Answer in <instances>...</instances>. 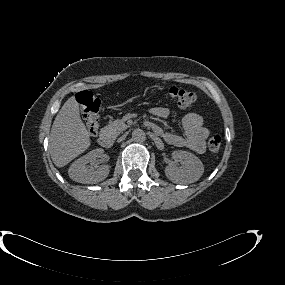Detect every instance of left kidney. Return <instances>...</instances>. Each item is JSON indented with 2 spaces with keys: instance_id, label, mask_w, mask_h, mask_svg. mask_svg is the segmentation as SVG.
<instances>
[{
  "instance_id": "obj_1",
  "label": "left kidney",
  "mask_w": 285,
  "mask_h": 285,
  "mask_svg": "<svg viewBox=\"0 0 285 285\" xmlns=\"http://www.w3.org/2000/svg\"><path fill=\"white\" fill-rule=\"evenodd\" d=\"M174 159L183 162V166L168 165L165 174L174 183L189 184L196 182L204 172L201 160L188 151L178 150L172 153Z\"/></svg>"
}]
</instances>
